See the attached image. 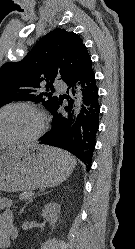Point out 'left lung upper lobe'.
Returning <instances> with one entry per match:
<instances>
[{
	"instance_id": "5c2ea615",
	"label": "left lung upper lobe",
	"mask_w": 135,
	"mask_h": 249,
	"mask_svg": "<svg viewBox=\"0 0 135 249\" xmlns=\"http://www.w3.org/2000/svg\"><path fill=\"white\" fill-rule=\"evenodd\" d=\"M92 63L82 39L74 32L57 28L43 38L19 62L0 68V107L11 101L41 102L50 112L58 102L51 92L59 77L66 84L77 79Z\"/></svg>"
}]
</instances>
